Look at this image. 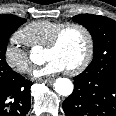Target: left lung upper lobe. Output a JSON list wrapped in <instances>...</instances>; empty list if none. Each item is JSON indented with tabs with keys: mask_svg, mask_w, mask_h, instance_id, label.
Instances as JSON below:
<instances>
[{
	"mask_svg": "<svg viewBox=\"0 0 116 116\" xmlns=\"http://www.w3.org/2000/svg\"><path fill=\"white\" fill-rule=\"evenodd\" d=\"M73 21L88 29L94 43L93 60L82 73L116 71V21L93 14L76 15Z\"/></svg>",
	"mask_w": 116,
	"mask_h": 116,
	"instance_id": "obj_1",
	"label": "left lung upper lobe"
}]
</instances>
